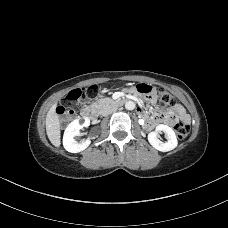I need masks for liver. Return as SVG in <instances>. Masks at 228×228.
Returning <instances> with one entry per match:
<instances>
[{
	"mask_svg": "<svg viewBox=\"0 0 228 228\" xmlns=\"http://www.w3.org/2000/svg\"><path fill=\"white\" fill-rule=\"evenodd\" d=\"M56 106L54 104L48 111L46 115V132L50 142L55 146L59 147L61 144V134H60V122L58 115L56 113Z\"/></svg>",
	"mask_w": 228,
	"mask_h": 228,
	"instance_id": "liver-1",
	"label": "liver"
}]
</instances>
